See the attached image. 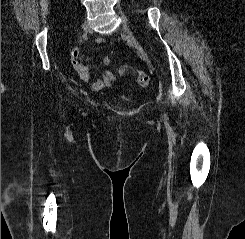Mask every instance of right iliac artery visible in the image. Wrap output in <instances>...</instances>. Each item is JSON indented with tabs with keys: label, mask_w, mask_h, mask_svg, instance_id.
Instances as JSON below:
<instances>
[{
	"label": "right iliac artery",
	"mask_w": 245,
	"mask_h": 239,
	"mask_svg": "<svg viewBox=\"0 0 245 239\" xmlns=\"http://www.w3.org/2000/svg\"><path fill=\"white\" fill-rule=\"evenodd\" d=\"M87 32L83 33L82 37H81V41L87 40Z\"/></svg>",
	"instance_id": "82829eb1"
}]
</instances>
